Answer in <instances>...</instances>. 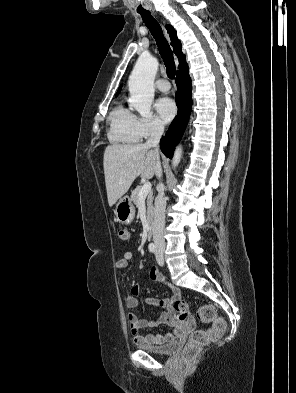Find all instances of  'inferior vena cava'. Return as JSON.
Here are the masks:
<instances>
[{"instance_id":"602c4592","label":"inferior vena cava","mask_w":296,"mask_h":393,"mask_svg":"<svg viewBox=\"0 0 296 393\" xmlns=\"http://www.w3.org/2000/svg\"><path fill=\"white\" fill-rule=\"evenodd\" d=\"M164 132V126L160 122H154L151 128V134L145 145L148 147L155 148V152L158 153L159 140ZM156 176L158 179L162 177V168L160 161L156 165ZM165 209L166 199L164 194V185L159 183L158 195L155 198V211H154V224H153V241L157 247H165L164 239V226H165Z\"/></svg>"}]
</instances>
